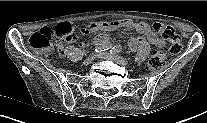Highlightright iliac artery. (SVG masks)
<instances>
[{"label": "right iliac artery", "instance_id": "obj_1", "mask_svg": "<svg viewBox=\"0 0 207 123\" xmlns=\"http://www.w3.org/2000/svg\"><path fill=\"white\" fill-rule=\"evenodd\" d=\"M110 48H111V44L109 42L100 43L95 47L94 52L95 53H101V52L106 51Z\"/></svg>", "mask_w": 207, "mask_h": 123}]
</instances>
